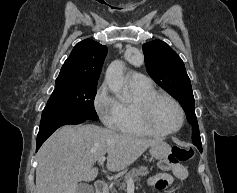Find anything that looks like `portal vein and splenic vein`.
I'll return each instance as SVG.
<instances>
[{
    "label": "portal vein and splenic vein",
    "instance_id": "1",
    "mask_svg": "<svg viewBox=\"0 0 237 193\" xmlns=\"http://www.w3.org/2000/svg\"><path fill=\"white\" fill-rule=\"evenodd\" d=\"M105 156H101L100 158H99V160H98V163H100V164H102L104 161H105ZM127 182L128 183H133V179L132 178H128L127 179Z\"/></svg>",
    "mask_w": 237,
    "mask_h": 193
}]
</instances>
